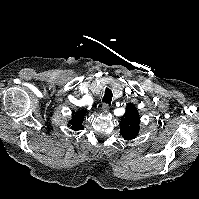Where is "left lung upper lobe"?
Returning a JSON list of instances; mask_svg holds the SVG:
<instances>
[{"label":"left lung upper lobe","instance_id":"left-lung-upper-lobe-1","mask_svg":"<svg viewBox=\"0 0 199 199\" xmlns=\"http://www.w3.org/2000/svg\"><path fill=\"white\" fill-rule=\"evenodd\" d=\"M140 117L137 108L129 103L125 114L121 117V135L125 140L134 139L139 133Z\"/></svg>","mask_w":199,"mask_h":199}]
</instances>
